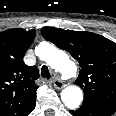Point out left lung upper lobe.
Returning <instances> with one entry per match:
<instances>
[{
  "instance_id": "left-lung-upper-lobe-1",
  "label": "left lung upper lobe",
  "mask_w": 116,
  "mask_h": 116,
  "mask_svg": "<svg viewBox=\"0 0 116 116\" xmlns=\"http://www.w3.org/2000/svg\"><path fill=\"white\" fill-rule=\"evenodd\" d=\"M43 37L68 51L80 65L75 84L83 88L84 101L116 104V44L86 31L45 27Z\"/></svg>"
}]
</instances>
